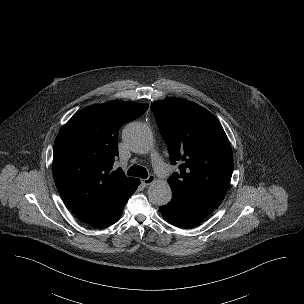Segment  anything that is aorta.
<instances>
[{
  "label": "aorta",
  "instance_id": "1",
  "mask_svg": "<svg viewBox=\"0 0 304 304\" xmlns=\"http://www.w3.org/2000/svg\"><path fill=\"white\" fill-rule=\"evenodd\" d=\"M123 140L132 151L145 154L153 146V136L150 128L142 123H131L125 127ZM149 200L158 206L166 205L172 198V191L166 181L158 180L148 189Z\"/></svg>",
  "mask_w": 304,
  "mask_h": 304
}]
</instances>
